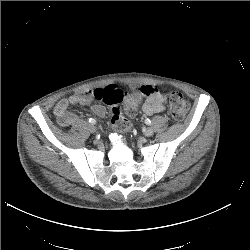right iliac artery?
<instances>
[{
    "instance_id": "82829eb1",
    "label": "right iliac artery",
    "mask_w": 250,
    "mask_h": 250,
    "mask_svg": "<svg viewBox=\"0 0 250 250\" xmlns=\"http://www.w3.org/2000/svg\"><path fill=\"white\" fill-rule=\"evenodd\" d=\"M88 122L93 124V125L96 124V120L93 118H88Z\"/></svg>"
}]
</instances>
